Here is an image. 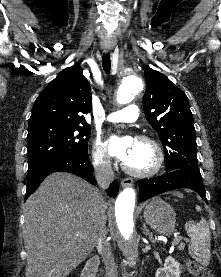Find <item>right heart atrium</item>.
Returning <instances> with one entry per match:
<instances>
[{"label":"right heart atrium","instance_id":"1","mask_svg":"<svg viewBox=\"0 0 221 277\" xmlns=\"http://www.w3.org/2000/svg\"><path fill=\"white\" fill-rule=\"evenodd\" d=\"M92 160L94 166L100 171L107 172L111 168L106 144L100 138H97L94 142Z\"/></svg>","mask_w":221,"mask_h":277}]
</instances>
